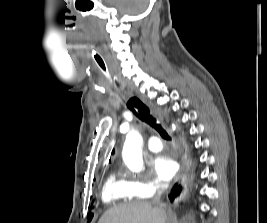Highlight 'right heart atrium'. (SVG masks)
Masks as SVG:
<instances>
[{
	"label": "right heart atrium",
	"instance_id": "d8ad5b80",
	"mask_svg": "<svg viewBox=\"0 0 267 223\" xmlns=\"http://www.w3.org/2000/svg\"><path fill=\"white\" fill-rule=\"evenodd\" d=\"M132 192L137 197L148 198L155 195L160 189L161 184L155 180H145L133 178L130 181Z\"/></svg>",
	"mask_w": 267,
	"mask_h": 223
}]
</instances>
